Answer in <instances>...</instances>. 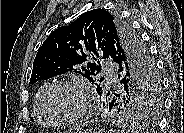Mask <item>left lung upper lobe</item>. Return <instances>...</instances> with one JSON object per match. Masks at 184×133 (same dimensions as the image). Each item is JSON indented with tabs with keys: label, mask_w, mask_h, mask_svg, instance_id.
I'll return each mask as SVG.
<instances>
[{
	"label": "left lung upper lobe",
	"mask_w": 184,
	"mask_h": 133,
	"mask_svg": "<svg viewBox=\"0 0 184 133\" xmlns=\"http://www.w3.org/2000/svg\"><path fill=\"white\" fill-rule=\"evenodd\" d=\"M91 55L112 60L124 77L125 85L109 92L113 100L106 99L114 104V115L148 120L157 116L161 82L156 65L130 25L104 9L87 11L53 31L37 52L29 84L73 71L95 84L99 94L105 90L104 78H95L101 70L99 61L86 65Z\"/></svg>",
	"instance_id": "5c2ea615"
}]
</instances>
